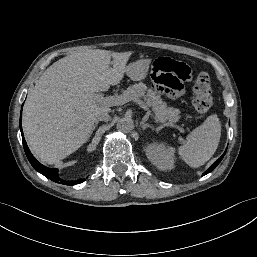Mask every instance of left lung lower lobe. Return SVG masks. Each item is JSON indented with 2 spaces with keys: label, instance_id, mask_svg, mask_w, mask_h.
<instances>
[{
  "label": "left lung lower lobe",
  "instance_id": "left-lung-lower-lobe-1",
  "mask_svg": "<svg viewBox=\"0 0 257 257\" xmlns=\"http://www.w3.org/2000/svg\"><path fill=\"white\" fill-rule=\"evenodd\" d=\"M225 153H226V151H225ZM225 153H224L215 163H213V165H212L211 167H209V169L206 170V171L203 173V175H206V174H208L209 172H211L213 169H215V167H216V166L220 163V161L223 159Z\"/></svg>",
  "mask_w": 257,
  "mask_h": 257
}]
</instances>
